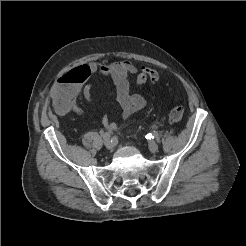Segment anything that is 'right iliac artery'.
Wrapping results in <instances>:
<instances>
[{"label": "right iliac artery", "mask_w": 246, "mask_h": 246, "mask_svg": "<svg viewBox=\"0 0 246 246\" xmlns=\"http://www.w3.org/2000/svg\"><path fill=\"white\" fill-rule=\"evenodd\" d=\"M102 137L103 138H109L110 134L108 132H104V133H102Z\"/></svg>", "instance_id": "1"}]
</instances>
